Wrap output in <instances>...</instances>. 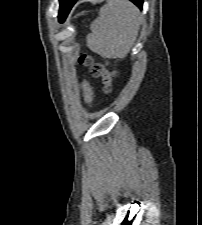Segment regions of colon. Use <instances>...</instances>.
<instances>
[{"instance_id":"1","label":"colon","mask_w":202,"mask_h":225,"mask_svg":"<svg viewBox=\"0 0 202 225\" xmlns=\"http://www.w3.org/2000/svg\"><path fill=\"white\" fill-rule=\"evenodd\" d=\"M80 60L83 65L89 68L92 77L101 79L104 90L108 92L117 77V72L100 62L93 61L88 55H82ZM83 91L86 103L90 104L93 100V90L88 82H84Z\"/></svg>"}]
</instances>
